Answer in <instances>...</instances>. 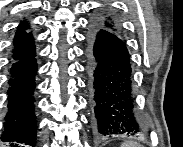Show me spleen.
Returning <instances> with one entry per match:
<instances>
[{
    "mask_svg": "<svg viewBox=\"0 0 183 147\" xmlns=\"http://www.w3.org/2000/svg\"><path fill=\"white\" fill-rule=\"evenodd\" d=\"M121 147H142V146L140 144H138L137 142L126 141V142L122 143Z\"/></svg>",
    "mask_w": 183,
    "mask_h": 147,
    "instance_id": "1",
    "label": "spleen"
}]
</instances>
